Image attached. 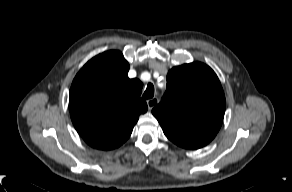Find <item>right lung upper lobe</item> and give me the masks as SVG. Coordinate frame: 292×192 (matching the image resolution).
<instances>
[{
  "label": "right lung upper lobe",
  "mask_w": 292,
  "mask_h": 192,
  "mask_svg": "<svg viewBox=\"0 0 292 192\" xmlns=\"http://www.w3.org/2000/svg\"><path fill=\"white\" fill-rule=\"evenodd\" d=\"M129 64L119 51L89 60L74 78L69 93L71 120L93 148L110 150L131 135L139 115L148 109L140 97L142 83L128 78Z\"/></svg>",
  "instance_id": "obj_1"
}]
</instances>
